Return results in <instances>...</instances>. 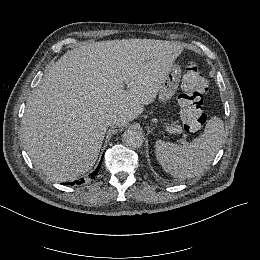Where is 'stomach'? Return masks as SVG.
Returning a JSON list of instances; mask_svg holds the SVG:
<instances>
[{"instance_id": "obj_1", "label": "stomach", "mask_w": 260, "mask_h": 260, "mask_svg": "<svg viewBox=\"0 0 260 260\" xmlns=\"http://www.w3.org/2000/svg\"><path fill=\"white\" fill-rule=\"evenodd\" d=\"M181 78V70L179 68L171 69L165 76L160 90L159 101L167 102L176 93Z\"/></svg>"}]
</instances>
